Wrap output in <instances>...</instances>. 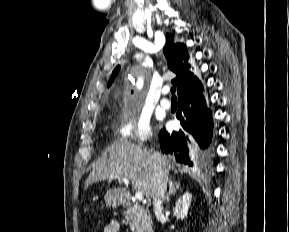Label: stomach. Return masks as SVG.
I'll list each match as a JSON object with an SVG mask.
<instances>
[{
    "label": "stomach",
    "mask_w": 289,
    "mask_h": 232,
    "mask_svg": "<svg viewBox=\"0 0 289 232\" xmlns=\"http://www.w3.org/2000/svg\"><path fill=\"white\" fill-rule=\"evenodd\" d=\"M121 197L115 191H109L105 197L106 204L108 206L116 205L120 202Z\"/></svg>",
    "instance_id": "1"
}]
</instances>
